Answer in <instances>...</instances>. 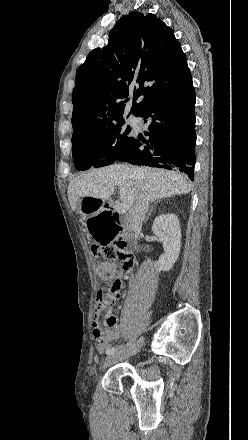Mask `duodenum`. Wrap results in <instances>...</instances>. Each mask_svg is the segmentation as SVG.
Returning <instances> with one entry per match:
<instances>
[{"mask_svg": "<svg viewBox=\"0 0 248 440\" xmlns=\"http://www.w3.org/2000/svg\"><path fill=\"white\" fill-rule=\"evenodd\" d=\"M105 207L107 209H110L111 204L109 202H106ZM113 221H114V225L115 228L117 230V233L120 229V225L122 223L121 220V216L118 213H114L113 214ZM118 245L128 251V252H134L137 248V238L135 234L132 233H126V234H122L119 238H118Z\"/></svg>", "mask_w": 248, "mask_h": 440, "instance_id": "obj_1", "label": "duodenum"}]
</instances>
